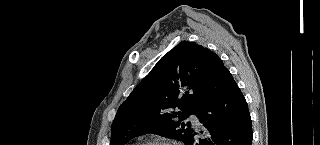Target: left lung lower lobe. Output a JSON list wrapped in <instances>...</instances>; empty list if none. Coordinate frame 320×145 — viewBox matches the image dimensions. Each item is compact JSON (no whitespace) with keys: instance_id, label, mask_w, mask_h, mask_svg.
Returning a JSON list of instances; mask_svg holds the SVG:
<instances>
[{"instance_id":"left-lung-lower-lobe-1","label":"left lung lower lobe","mask_w":320,"mask_h":145,"mask_svg":"<svg viewBox=\"0 0 320 145\" xmlns=\"http://www.w3.org/2000/svg\"><path fill=\"white\" fill-rule=\"evenodd\" d=\"M197 118L207 138L193 130L186 145H251L252 126L246 100L220 59L202 84Z\"/></svg>"}]
</instances>
